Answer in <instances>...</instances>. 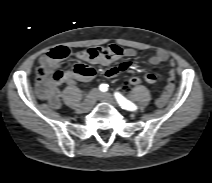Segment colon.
<instances>
[{
  "label": "colon",
  "instance_id": "colon-1",
  "mask_svg": "<svg viewBox=\"0 0 212 183\" xmlns=\"http://www.w3.org/2000/svg\"><path fill=\"white\" fill-rule=\"evenodd\" d=\"M47 56L53 61L59 62L66 59L69 56V50L66 47H56L47 52ZM85 65L75 64L72 67V71L78 74L85 73ZM37 79L40 83L59 82L64 76V72L59 68H48L46 66H39L36 71ZM142 81L138 77H131L125 82V88L130 89L138 86Z\"/></svg>",
  "mask_w": 212,
  "mask_h": 183
}]
</instances>
